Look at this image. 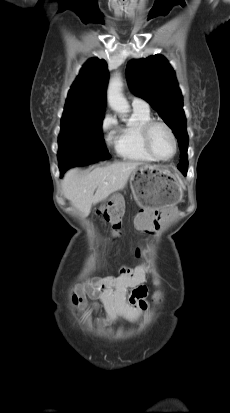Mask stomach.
<instances>
[{
  "mask_svg": "<svg viewBox=\"0 0 230 413\" xmlns=\"http://www.w3.org/2000/svg\"><path fill=\"white\" fill-rule=\"evenodd\" d=\"M130 187L134 200L143 209L176 205L183 195L179 178L159 165L137 167L131 174Z\"/></svg>",
  "mask_w": 230,
  "mask_h": 413,
  "instance_id": "stomach-1",
  "label": "stomach"
}]
</instances>
